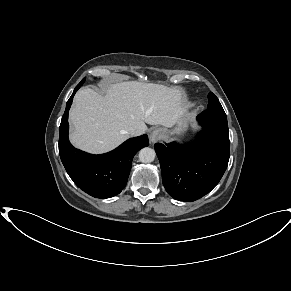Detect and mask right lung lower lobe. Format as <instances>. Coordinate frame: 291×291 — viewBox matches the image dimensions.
Masks as SVG:
<instances>
[{
	"instance_id": "98d812e1",
	"label": "right lung lower lobe",
	"mask_w": 291,
	"mask_h": 291,
	"mask_svg": "<svg viewBox=\"0 0 291 291\" xmlns=\"http://www.w3.org/2000/svg\"><path fill=\"white\" fill-rule=\"evenodd\" d=\"M80 82L66 104L59 129V154L73 182L84 192L96 198H110L125 187L134 155L149 145L148 136L131 138L115 150L91 155L74 148L68 139V111Z\"/></svg>"
}]
</instances>
